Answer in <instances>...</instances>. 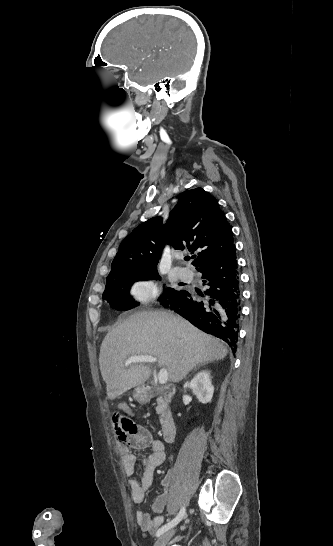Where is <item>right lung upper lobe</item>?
Instances as JSON below:
<instances>
[{
  "label": "right lung upper lobe",
  "mask_w": 333,
  "mask_h": 546,
  "mask_svg": "<svg viewBox=\"0 0 333 546\" xmlns=\"http://www.w3.org/2000/svg\"><path fill=\"white\" fill-rule=\"evenodd\" d=\"M165 244L198 253L197 270L220 257L233 244L231 227L217 200L202 188L185 191L162 225L154 217L135 228L120 244L111 270H157Z\"/></svg>",
  "instance_id": "right-lung-upper-lobe-1"
}]
</instances>
